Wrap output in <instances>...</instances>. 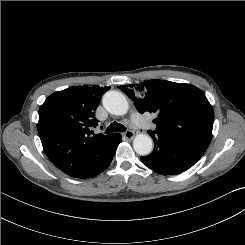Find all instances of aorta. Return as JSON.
Here are the masks:
<instances>
[{
	"instance_id": "obj_1",
	"label": "aorta",
	"mask_w": 245,
	"mask_h": 245,
	"mask_svg": "<svg viewBox=\"0 0 245 245\" xmlns=\"http://www.w3.org/2000/svg\"><path fill=\"white\" fill-rule=\"evenodd\" d=\"M104 108L113 115H124L128 111V101L126 97L118 91H108L104 94ZM153 147L152 139L147 134H138L133 141V148L139 155L145 156L151 153Z\"/></svg>"
}]
</instances>
